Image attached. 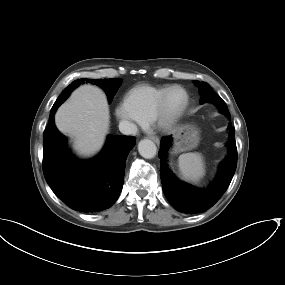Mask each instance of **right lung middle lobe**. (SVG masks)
I'll return each instance as SVG.
<instances>
[{"label":"right lung middle lobe","instance_id":"obj_1","mask_svg":"<svg viewBox=\"0 0 285 285\" xmlns=\"http://www.w3.org/2000/svg\"><path fill=\"white\" fill-rule=\"evenodd\" d=\"M89 82V83H94L100 87H102L107 96H108V100L111 101L113 96L115 95L116 91L118 90V87L120 86V79L119 78H111V79H96V80H90V79H78L75 80L74 82H72L67 88H65V90L62 92V94L57 98L56 100V104H59V101H64L65 97H67L68 95L66 94L68 91H72L74 90L77 86H79L81 83L83 82ZM55 103L53 105V107H55ZM52 107V108H53Z\"/></svg>","mask_w":285,"mask_h":285}]
</instances>
